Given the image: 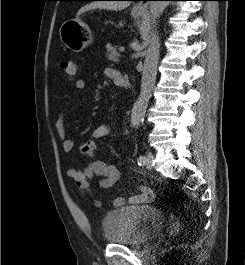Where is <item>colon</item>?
Segmentation results:
<instances>
[{
  "label": "colon",
  "mask_w": 245,
  "mask_h": 265,
  "mask_svg": "<svg viewBox=\"0 0 245 265\" xmlns=\"http://www.w3.org/2000/svg\"><path fill=\"white\" fill-rule=\"evenodd\" d=\"M61 68L68 79L73 80L77 76V65L72 60H63ZM80 150L82 155L91 158L95 154L96 145L93 141H86L81 145Z\"/></svg>",
  "instance_id": "colon-1"
}]
</instances>
